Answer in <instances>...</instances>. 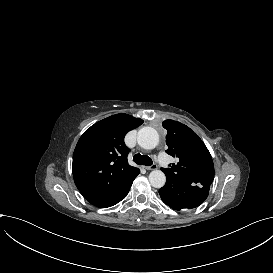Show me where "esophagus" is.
Returning a JSON list of instances; mask_svg holds the SVG:
<instances>
[{"instance_id":"34e87169","label":"esophagus","mask_w":273,"mask_h":273,"mask_svg":"<svg viewBox=\"0 0 273 273\" xmlns=\"http://www.w3.org/2000/svg\"><path fill=\"white\" fill-rule=\"evenodd\" d=\"M158 168V165L157 164H153L151 166H147L146 169L147 170H156Z\"/></svg>"}]
</instances>
